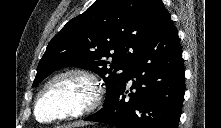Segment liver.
Here are the masks:
<instances>
[{"instance_id": "1", "label": "liver", "mask_w": 221, "mask_h": 128, "mask_svg": "<svg viewBox=\"0 0 221 128\" xmlns=\"http://www.w3.org/2000/svg\"><path fill=\"white\" fill-rule=\"evenodd\" d=\"M77 126H79V124H74L72 127H77Z\"/></svg>"}]
</instances>
